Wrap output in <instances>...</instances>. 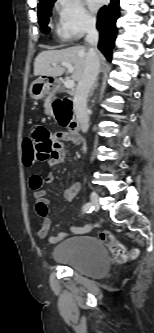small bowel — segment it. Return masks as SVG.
Masks as SVG:
<instances>
[{
	"label": "small bowel",
	"mask_w": 154,
	"mask_h": 333,
	"mask_svg": "<svg viewBox=\"0 0 154 333\" xmlns=\"http://www.w3.org/2000/svg\"><path fill=\"white\" fill-rule=\"evenodd\" d=\"M31 138L34 141L35 154L37 161H48L50 166L61 163L65 158V149L63 141L78 142L79 138H75L70 130L68 132L51 133L43 126H35L31 131ZM54 182V175L47 173L45 176L33 175L30 177L29 185L34 190L36 198V211L42 220V226L37 231V237L40 239L48 238L51 244H55L65 238L68 233L61 232L57 235H50L51 220L48 215L49 199L47 192L42 189L43 184H51ZM80 190V183L76 182L67 188L64 196L68 201L75 198ZM91 226L84 227L71 226L72 233H83L90 231Z\"/></svg>",
	"instance_id": "1"
}]
</instances>
